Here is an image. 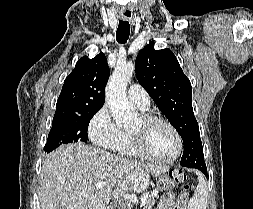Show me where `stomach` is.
Segmentation results:
<instances>
[{"label": "stomach", "instance_id": "stomach-1", "mask_svg": "<svg viewBox=\"0 0 253 209\" xmlns=\"http://www.w3.org/2000/svg\"><path fill=\"white\" fill-rule=\"evenodd\" d=\"M168 174H166L165 172H163V173H161V174H159V179H158V182H157V186H158V188H160L161 190L162 189H166L167 188V183H165V182H168ZM143 186H148V181H143ZM125 187H130V182H125ZM121 193H126V188H121ZM120 208L119 209H126L125 207H128V202H120Z\"/></svg>", "mask_w": 253, "mask_h": 209}]
</instances>
